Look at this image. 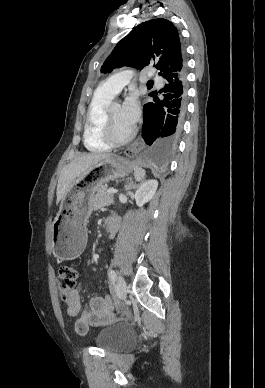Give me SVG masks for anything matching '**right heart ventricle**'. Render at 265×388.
I'll use <instances>...</instances> for the list:
<instances>
[{"instance_id":"e07e8e85","label":"right heart ventricle","mask_w":265,"mask_h":388,"mask_svg":"<svg viewBox=\"0 0 265 388\" xmlns=\"http://www.w3.org/2000/svg\"><path fill=\"white\" fill-rule=\"evenodd\" d=\"M116 97V91H104L103 89L95 91V97L86 116L84 131L85 144L92 151H105L109 150L111 147V145L101 137L99 127L104 110L108 105L113 104V98Z\"/></svg>"}]
</instances>
